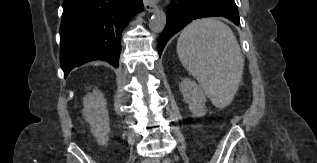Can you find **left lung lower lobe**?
<instances>
[{"label":"left lung lower lobe","mask_w":317,"mask_h":163,"mask_svg":"<svg viewBox=\"0 0 317 163\" xmlns=\"http://www.w3.org/2000/svg\"><path fill=\"white\" fill-rule=\"evenodd\" d=\"M167 11V23L158 39L159 55L167 41L187 24L195 19L222 16L239 25L237 6L232 0H178Z\"/></svg>","instance_id":"0a47b994"}]
</instances>
